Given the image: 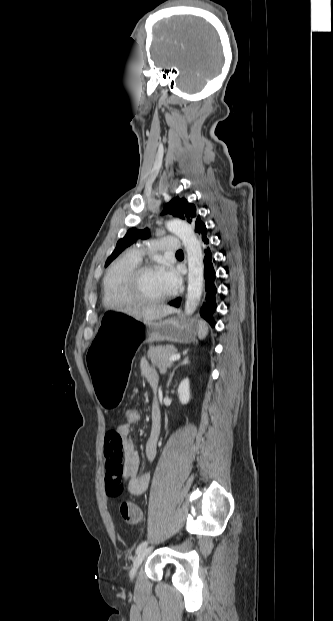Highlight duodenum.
Returning a JSON list of instances; mask_svg holds the SVG:
<instances>
[{
	"label": "duodenum",
	"instance_id": "obj_1",
	"mask_svg": "<svg viewBox=\"0 0 333 621\" xmlns=\"http://www.w3.org/2000/svg\"><path fill=\"white\" fill-rule=\"evenodd\" d=\"M152 419L155 426H158L160 423V416L158 414H154Z\"/></svg>",
	"mask_w": 333,
	"mask_h": 621
}]
</instances>
